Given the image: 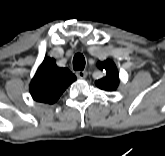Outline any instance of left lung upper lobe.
Masks as SVG:
<instances>
[{"mask_svg": "<svg viewBox=\"0 0 165 156\" xmlns=\"http://www.w3.org/2000/svg\"><path fill=\"white\" fill-rule=\"evenodd\" d=\"M98 68L106 71V76L95 82L96 86L105 91H113L118 87L119 74L111 60L97 63Z\"/></svg>", "mask_w": 165, "mask_h": 156, "instance_id": "obj_1", "label": "left lung upper lobe"}]
</instances>
